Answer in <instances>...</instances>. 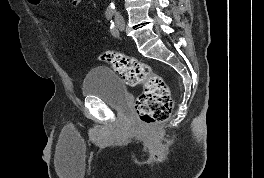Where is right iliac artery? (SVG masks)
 Returning <instances> with one entry per match:
<instances>
[{
  "label": "right iliac artery",
  "instance_id": "1",
  "mask_svg": "<svg viewBox=\"0 0 264 178\" xmlns=\"http://www.w3.org/2000/svg\"><path fill=\"white\" fill-rule=\"evenodd\" d=\"M114 12L112 10L106 11V18L107 20H110L113 17Z\"/></svg>",
  "mask_w": 264,
  "mask_h": 178
}]
</instances>
